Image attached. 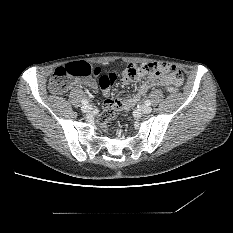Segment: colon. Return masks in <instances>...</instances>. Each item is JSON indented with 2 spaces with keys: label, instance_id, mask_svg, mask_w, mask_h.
<instances>
[{
  "label": "colon",
  "instance_id": "colon-1",
  "mask_svg": "<svg viewBox=\"0 0 233 233\" xmlns=\"http://www.w3.org/2000/svg\"><path fill=\"white\" fill-rule=\"evenodd\" d=\"M162 71L170 72L176 68L169 64L162 66ZM156 73V70L151 64L148 65H136L129 64L122 72V77L125 81L134 77L152 76ZM102 69L99 66H94L87 61H77L62 67L57 68L49 82V90L52 93H63L72 84L75 78H86L93 75H101ZM114 113L111 110L103 112L98 117L99 125L107 130L108 123L113 119Z\"/></svg>",
  "mask_w": 233,
  "mask_h": 233
}]
</instances>
